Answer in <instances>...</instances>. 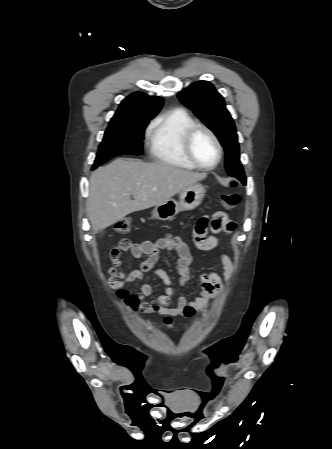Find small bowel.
Wrapping results in <instances>:
<instances>
[{"instance_id":"1","label":"small bowel","mask_w":332,"mask_h":449,"mask_svg":"<svg viewBox=\"0 0 332 449\" xmlns=\"http://www.w3.org/2000/svg\"><path fill=\"white\" fill-rule=\"evenodd\" d=\"M235 229V222L224 212H216L212 216H202L194 225V246L204 252L213 251L218 246L216 235L219 233L232 235ZM129 250L135 258L142 259L139 268L124 272L120 269V265L114 264L109 269L108 283L114 288H123L129 282L138 281L139 286L134 294L141 301L139 308L144 313L192 317L196 313L204 311L209 302L224 287V282L217 272L204 273L201 277L200 288L194 297L188 298L185 294H181L176 305L171 306L174 295L172 280L166 271L154 270V267L159 260L161 250L172 252L176 256V270L180 275V284L185 286L191 277L190 265L193 261L188 245L179 236L167 234L156 241L146 240L141 243L129 241ZM217 257L223 268V278L227 282L235 271V264L225 253H219ZM152 270L162 280L166 288L163 294H158L152 302H147L145 298L153 295V288L144 281V275Z\"/></svg>"}]
</instances>
